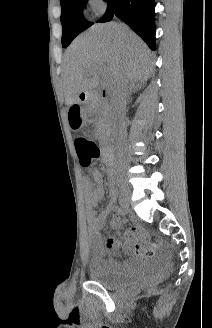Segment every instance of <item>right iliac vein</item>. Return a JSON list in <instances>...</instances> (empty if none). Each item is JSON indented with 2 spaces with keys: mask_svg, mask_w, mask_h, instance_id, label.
<instances>
[{
  "mask_svg": "<svg viewBox=\"0 0 212 328\" xmlns=\"http://www.w3.org/2000/svg\"><path fill=\"white\" fill-rule=\"evenodd\" d=\"M120 190H121V195L123 196V199L126 203V205L129 204L130 202V198H131V190L129 188V186L126 183H120Z\"/></svg>",
  "mask_w": 212,
  "mask_h": 328,
  "instance_id": "obj_1",
  "label": "right iliac vein"
}]
</instances>
